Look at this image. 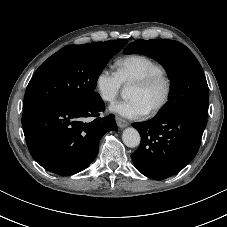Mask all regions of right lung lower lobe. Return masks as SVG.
Here are the masks:
<instances>
[{
	"mask_svg": "<svg viewBox=\"0 0 227 227\" xmlns=\"http://www.w3.org/2000/svg\"><path fill=\"white\" fill-rule=\"evenodd\" d=\"M101 98L90 102H51L24 110L22 126L32 157L46 170L69 176L96 157L101 137L116 129L114 115L99 117ZM87 117H96L85 122Z\"/></svg>",
	"mask_w": 227,
	"mask_h": 227,
	"instance_id": "obj_1",
	"label": "right lung lower lobe"
}]
</instances>
